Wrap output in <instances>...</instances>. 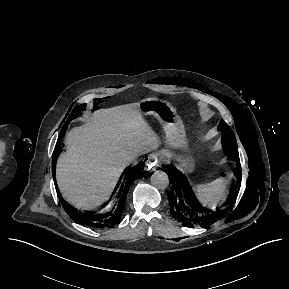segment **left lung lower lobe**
<instances>
[{"mask_svg": "<svg viewBox=\"0 0 289 289\" xmlns=\"http://www.w3.org/2000/svg\"><path fill=\"white\" fill-rule=\"evenodd\" d=\"M166 173L172 184L167 194L170 211L174 218L179 219L187 227H206L222 218L230 207L213 212L200 205L197 201L185 175L173 167H167ZM236 177L240 181V162H237Z\"/></svg>", "mask_w": 289, "mask_h": 289, "instance_id": "obj_1", "label": "left lung lower lobe"}]
</instances>
